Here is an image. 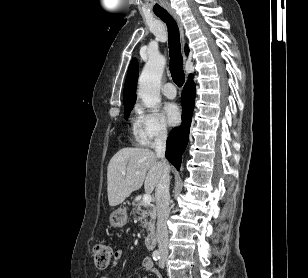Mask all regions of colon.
<instances>
[{"label": "colon", "mask_w": 308, "mask_h": 278, "mask_svg": "<svg viewBox=\"0 0 308 278\" xmlns=\"http://www.w3.org/2000/svg\"><path fill=\"white\" fill-rule=\"evenodd\" d=\"M113 257V250L107 244H97L93 249V259L99 269H106Z\"/></svg>", "instance_id": "1"}]
</instances>
